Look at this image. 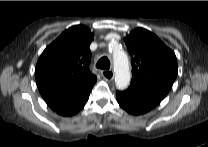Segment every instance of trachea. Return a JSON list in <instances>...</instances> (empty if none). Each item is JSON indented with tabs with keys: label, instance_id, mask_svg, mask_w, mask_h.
I'll return each mask as SVG.
<instances>
[{
	"label": "trachea",
	"instance_id": "3493384b",
	"mask_svg": "<svg viewBox=\"0 0 208 147\" xmlns=\"http://www.w3.org/2000/svg\"><path fill=\"white\" fill-rule=\"evenodd\" d=\"M96 67L99 69H109L110 61L107 57H102L98 60Z\"/></svg>",
	"mask_w": 208,
	"mask_h": 147
}]
</instances>
